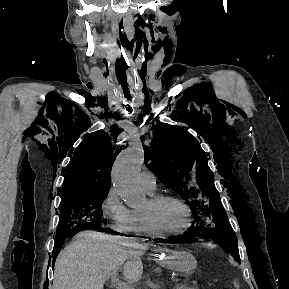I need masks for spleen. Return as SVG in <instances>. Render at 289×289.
Listing matches in <instances>:
<instances>
[{
	"label": "spleen",
	"mask_w": 289,
	"mask_h": 289,
	"mask_svg": "<svg viewBox=\"0 0 289 289\" xmlns=\"http://www.w3.org/2000/svg\"><path fill=\"white\" fill-rule=\"evenodd\" d=\"M234 286H235V288H236V289H238V287H239V284H238V282H237V281H235V282H234Z\"/></svg>",
	"instance_id": "3e777b00"
}]
</instances>
